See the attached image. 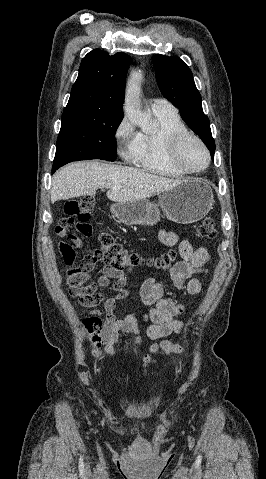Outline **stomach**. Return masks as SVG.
Masks as SVG:
<instances>
[{
	"mask_svg": "<svg viewBox=\"0 0 266 479\" xmlns=\"http://www.w3.org/2000/svg\"><path fill=\"white\" fill-rule=\"evenodd\" d=\"M210 186L200 179H188L159 195L158 204L147 199L116 202L110 210L126 225H154L161 213L169 220L190 224L204 218L213 205Z\"/></svg>",
	"mask_w": 266,
	"mask_h": 479,
	"instance_id": "obj_1",
	"label": "stomach"
}]
</instances>
